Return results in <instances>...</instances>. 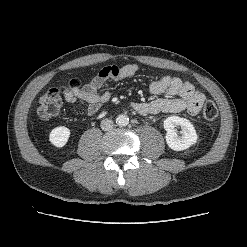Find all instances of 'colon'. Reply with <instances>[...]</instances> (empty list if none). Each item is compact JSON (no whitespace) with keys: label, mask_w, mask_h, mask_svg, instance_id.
Listing matches in <instances>:
<instances>
[{"label":"colon","mask_w":247,"mask_h":247,"mask_svg":"<svg viewBox=\"0 0 247 247\" xmlns=\"http://www.w3.org/2000/svg\"><path fill=\"white\" fill-rule=\"evenodd\" d=\"M72 88L79 87L78 80L71 81ZM62 105L61 91L57 88L48 90L39 101L37 114L41 119L48 120L57 116ZM206 120H214L218 116V108L213 101H207L202 110Z\"/></svg>","instance_id":"1"}]
</instances>
